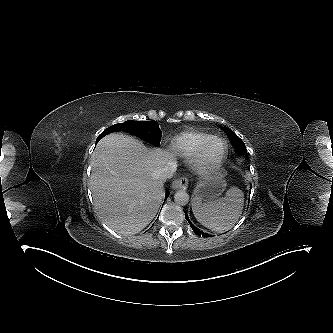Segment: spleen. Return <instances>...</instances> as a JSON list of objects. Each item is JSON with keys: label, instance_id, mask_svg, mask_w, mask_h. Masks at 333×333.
Wrapping results in <instances>:
<instances>
[{"label": "spleen", "instance_id": "obj_1", "mask_svg": "<svg viewBox=\"0 0 333 333\" xmlns=\"http://www.w3.org/2000/svg\"><path fill=\"white\" fill-rule=\"evenodd\" d=\"M244 204L243 192L230 188L224 197L204 202L194 198L192 210L195 218L203 226L216 232L231 229L238 221Z\"/></svg>", "mask_w": 333, "mask_h": 333}]
</instances>
